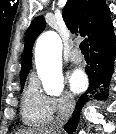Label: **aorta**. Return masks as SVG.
Here are the masks:
<instances>
[{
  "instance_id": "aorta-1",
  "label": "aorta",
  "mask_w": 116,
  "mask_h": 134,
  "mask_svg": "<svg viewBox=\"0 0 116 134\" xmlns=\"http://www.w3.org/2000/svg\"><path fill=\"white\" fill-rule=\"evenodd\" d=\"M62 41L54 31L43 33L37 40L35 62L46 93L60 95L64 89L61 67Z\"/></svg>"
}]
</instances>
